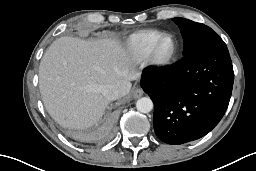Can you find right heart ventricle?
I'll list each match as a JSON object with an SVG mask.
<instances>
[{"instance_id":"e07e8e85","label":"right heart ventricle","mask_w":256,"mask_h":171,"mask_svg":"<svg viewBox=\"0 0 256 171\" xmlns=\"http://www.w3.org/2000/svg\"><path fill=\"white\" fill-rule=\"evenodd\" d=\"M163 35V32L157 29H145L129 36L127 48L130 55L137 60L146 59L154 42Z\"/></svg>"}]
</instances>
